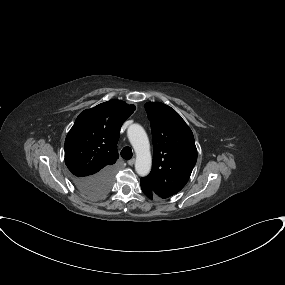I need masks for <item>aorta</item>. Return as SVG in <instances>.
Listing matches in <instances>:
<instances>
[{"instance_id": "762f6f07", "label": "aorta", "mask_w": 285, "mask_h": 285, "mask_svg": "<svg viewBox=\"0 0 285 285\" xmlns=\"http://www.w3.org/2000/svg\"><path fill=\"white\" fill-rule=\"evenodd\" d=\"M128 139L136 153L135 170L140 176H147L151 170L150 143L144 128L132 124L128 128Z\"/></svg>"}]
</instances>
